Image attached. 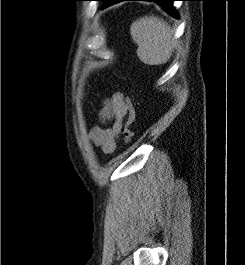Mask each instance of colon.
Here are the masks:
<instances>
[{
	"label": "colon",
	"instance_id": "1",
	"mask_svg": "<svg viewBox=\"0 0 245 265\" xmlns=\"http://www.w3.org/2000/svg\"><path fill=\"white\" fill-rule=\"evenodd\" d=\"M125 101L128 106L127 117L126 120L121 124L120 133L123 137L124 142L126 144H129L133 140L134 136L133 131L131 130V126L135 121L136 112L131 99L127 97L125 98Z\"/></svg>",
	"mask_w": 245,
	"mask_h": 265
}]
</instances>
